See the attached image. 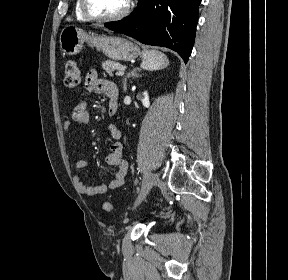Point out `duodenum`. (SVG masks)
Instances as JSON below:
<instances>
[{
  "label": "duodenum",
  "mask_w": 288,
  "mask_h": 280,
  "mask_svg": "<svg viewBox=\"0 0 288 280\" xmlns=\"http://www.w3.org/2000/svg\"><path fill=\"white\" fill-rule=\"evenodd\" d=\"M118 109V101L117 98H112L109 101V106H108V112L109 114H115L117 112Z\"/></svg>",
  "instance_id": "duodenum-1"
}]
</instances>
